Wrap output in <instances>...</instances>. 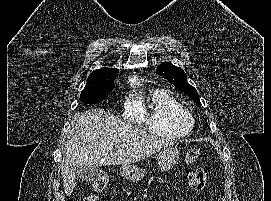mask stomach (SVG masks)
Listing matches in <instances>:
<instances>
[{
	"label": "stomach",
	"instance_id": "stomach-1",
	"mask_svg": "<svg viewBox=\"0 0 271 201\" xmlns=\"http://www.w3.org/2000/svg\"><path fill=\"white\" fill-rule=\"evenodd\" d=\"M178 160L179 150L174 147L164 148L157 156L158 166L162 172L171 169ZM120 173L124 179L137 182L145 177L146 171L135 165H123Z\"/></svg>",
	"mask_w": 271,
	"mask_h": 201
}]
</instances>
